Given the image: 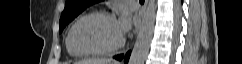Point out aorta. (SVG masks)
Listing matches in <instances>:
<instances>
[{"label":"aorta","instance_id":"1","mask_svg":"<svg viewBox=\"0 0 242 64\" xmlns=\"http://www.w3.org/2000/svg\"><path fill=\"white\" fill-rule=\"evenodd\" d=\"M156 18L155 0H149L133 47L129 64H144L152 41Z\"/></svg>","mask_w":242,"mask_h":64}]
</instances>
